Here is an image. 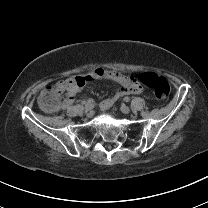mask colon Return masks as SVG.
Listing matches in <instances>:
<instances>
[{"label":"colon","mask_w":208,"mask_h":208,"mask_svg":"<svg viewBox=\"0 0 208 208\" xmlns=\"http://www.w3.org/2000/svg\"><path fill=\"white\" fill-rule=\"evenodd\" d=\"M138 80L149 88L157 100H164L170 93V85L164 78L154 72H143ZM74 90V83L70 79H63L57 87H50L43 91L38 98V105L45 110H59L62 107L60 97H67Z\"/></svg>","instance_id":"colon-1"}]
</instances>
